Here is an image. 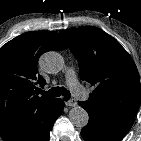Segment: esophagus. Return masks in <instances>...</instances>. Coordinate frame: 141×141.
I'll return each mask as SVG.
<instances>
[{"label":"esophagus","instance_id":"obj_1","mask_svg":"<svg viewBox=\"0 0 141 141\" xmlns=\"http://www.w3.org/2000/svg\"><path fill=\"white\" fill-rule=\"evenodd\" d=\"M69 107H75L77 105L76 99L72 98L68 102L65 103Z\"/></svg>","mask_w":141,"mask_h":141}]
</instances>
